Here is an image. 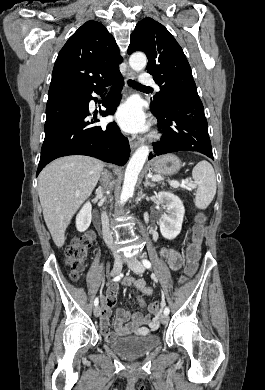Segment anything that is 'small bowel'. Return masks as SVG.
Listing matches in <instances>:
<instances>
[{
	"label": "small bowel",
	"instance_id": "small-bowel-1",
	"mask_svg": "<svg viewBox=\"0 0 265 390\" xmlns=\"http://www.w3.org/2000/svg\"><path fill=\"white\" fill-rule=\"evenodd\" d=\"M162 255L167 259L170 268L177 271L182 266L181 254L170 248L162 250ZM124 285H133L140 294L150 295L151 288L147 287L143 280L137 278H127L123 282ZM118 292V285H111L106 294L102 296V316L100 320V329L104 338L108 341L115 338L117 335L126 333H137L141 335L148 334L159 326L158 318L152 317L149 314L131 313L127 310L117 309L115 319V331L110 330L109 318L111 316L112 308L116 303V296ZM139 304L146 307L144 300L139 297ZM149 309V307H148Z\"/></svg>",
	"mask_w": 265,
	"mask_h": 390
}]
</instances>
